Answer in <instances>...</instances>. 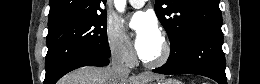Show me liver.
Returning <instances> with one entry per match:
<instances>
[{
    "label": "liver",
    "instance_id": "6515ba94",
    "mask_svg": "<svg viewBox=\"0 0 260 84\" xmlns=\"http://www.w3.org/2000/svg\"><path fill=\"white\" fill-rule=\"evenodd\" d=\"M158 78L153 74L139 76H121L112 68L82 67L64 76L59 84H148Z\"/></svg>",
    "mask_w": 260,
    "mask_h": 84
}]
</instances>
